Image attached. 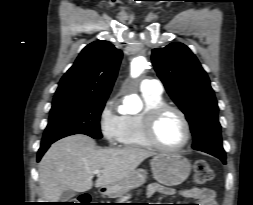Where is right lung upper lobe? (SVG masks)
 Masks as SVG:
<instances>
[{
	"mask_svg": "<svg viewBox=\"0 0 253 205\" xmlns=\"http://www.w3.org/2000/svg\"><path fill=\"white\" fill-rule=\"evenodd\" d=\"M122 59V51L108 41L87 45L59 82L53 101L108 98Z\"/></svg>",
	"mask_w": 253,
	"mask_h": 205,
	"instance_id": "obj_1",
	"label": "right lung upper lobe"
}]
</instances>
